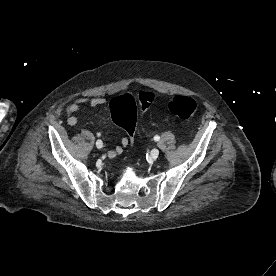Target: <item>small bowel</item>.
<instances>
[{
  "mask_svg": "<svg viewBox=\"0 0 276 276\" xmlns=\"http://www.w3.org/2000/svg\"><path fill=\"white\" fill-rule=\"evenodd\" d=\"M89 104L91 107L96 108L106 104V99L103 97H80L74 100L68 107H67V114H68V124L70 126L76 125L80 117L76 115V113L80 110L81 105ZM129 141L127 138H122L119 144L112 150L107 152L109 158H115L116 156L120 155L123 152V149L128 145Z\"/></svg>",
  "mask_w": 276,
  "mask_h": 276,
  "instance_id": "small-bowel-1",
  "label": "small bowel"
}]
</instances>
